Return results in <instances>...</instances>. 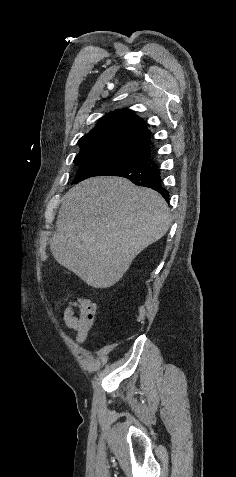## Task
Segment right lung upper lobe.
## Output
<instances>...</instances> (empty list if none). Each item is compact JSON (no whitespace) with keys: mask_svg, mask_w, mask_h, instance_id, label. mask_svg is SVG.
Listing matches in <instances>:
<instances>
[{"mask_svg":"<svg viewBox=\"0 0 236 477\" xmlns=\"http://www.w3.org/2000/svg\"><path fill=\"white\" fill-rule=\"evenodd\" d=\"M150 131L146 123L129 109H119L102 117L98 125L83 136L78 144L81 152L74 161L104 159L135 164L132 158L142 160L150 154Z\"/></svg>","mask_w":236,"mask_h":477,"instance_id":"obj_1","label":"right lung upper lobe"}]
</instances>
